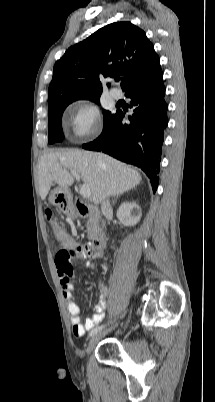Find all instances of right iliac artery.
Segmentation results:
<instances>
[{
	"label": "right iliac artery",
	"instance_id": "obj_1",
	"mask_svg": "<svg viewBox=\"0 0 215 402\" xmlns=\"http://www.w3.org/2000/svg\"><path fill=\"white\" fill-rule=\"evenodd\" d=\"M103 327H104V326H98V327L94 328V329L90 332L89 336H94L96 333H98L100 330H102Z\"/></svg>",
	"mask_w": 215,
	"mask_h": 402
}]
</instances>
